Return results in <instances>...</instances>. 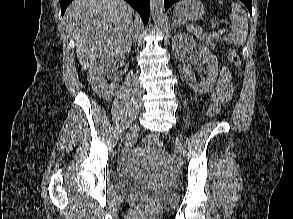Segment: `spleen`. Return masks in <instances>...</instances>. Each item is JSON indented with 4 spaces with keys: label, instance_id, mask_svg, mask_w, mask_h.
<instances>
[{
    "label": "spleen",
    "instance_id": "obj_1",
    "mask_svg": "<svg viewBox=\"0 0 293 219\" xmlns=\"http://www.w3.org/2000/svg\"><path fill=\"white\" fill-rule=\"evenodd\" d=\"M230 14L231 32L224 37V41L240 47L244 44L248 33V18L245 10L238 3L231 4Z\"/></svg>",
    "mask_w": 293,
    "mask_h": 219
}]
</instances>
